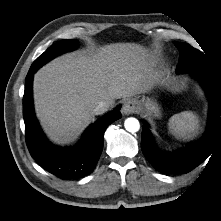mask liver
Listing matches in <instances>:
<instances>
[{
  "label": "liver",
  "instance_id": "6515ba94",
  "mask_svg": "<svg viewBox=\"0 0 221 221\" xmlns=\"http://www.w3.org/2000/svg\"><path fill=\"white\" fill-rule=\"evenodd\" d=\"M154 61L140 45L117 43L89 54L54 59L34 76L35 110L47 135L56 143L73 141L94 119L105 101L144 93L153 79Z\"/></svg>",
  "mask_w": 221,
  "mask_h": 221
}]
</instances>
